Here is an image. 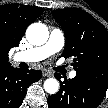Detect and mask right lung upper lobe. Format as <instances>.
Segmentation results:
<instances>
[{
  "mask_svg": "<svg viewBox=\"0 0 108 108\" xmlns=\"http://www.w3.org/2000/svg\"><path fill=\"white\" fill-rule=\"evenodd\" d=\"M43 9L36 6L6 4L0 6V68L11 66L8 52L18 46L27 27L37 19Z\"/></svg>",
  "mask_w": 108,
  "mask_h": 108,
  "instance_id": "cb5924a9",
  "label": "right lung upper lobe"
}]
</instances>
